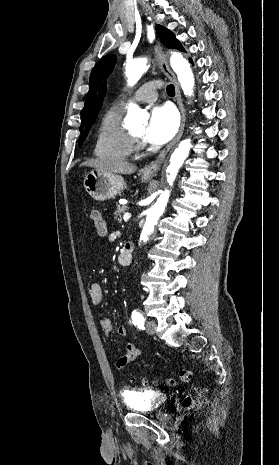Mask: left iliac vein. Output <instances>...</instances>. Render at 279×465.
<instances>
[{"instance_id":"4c4485c4","label":"left iliac vein","mask_w":279,"mask_h":465,"mask_svg":"<svg viewBox=\"0 0 279 465\" xmlns=\"http://www.w3.org/2000/svg\"><path fill=\"white\" fill-rule=\"evenodd\" d=\"M145 327H146V331H147L148 334H151V335L155 334V332H156V322L155 321H153V320L147 321Z\"/></svg>"}]
</instances>
